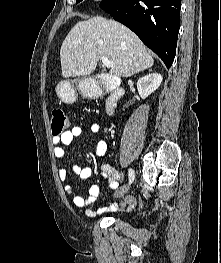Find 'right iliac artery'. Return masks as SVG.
<instances>
[{
	"label": "right iliac artery",
	"mask_w": 221,
	"mask_h": 263,
	"mask_svg": "<svg viewBox=\"0 0 221 263\" xmlns=\"http://www.w3.org/2000/svg\"><path fill=\"white\" fill-rule=\"evenodd\" d=\"M128 173H129V183H132V181H133L134 178H135L134 171H133L132 169H129V170H128Z\"/></svg>",
	"instance_id": "82829eb1"
}]
</instances>
